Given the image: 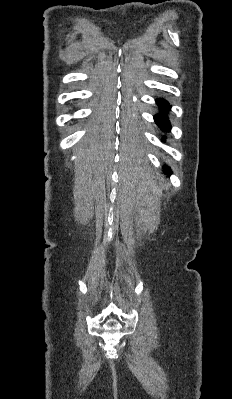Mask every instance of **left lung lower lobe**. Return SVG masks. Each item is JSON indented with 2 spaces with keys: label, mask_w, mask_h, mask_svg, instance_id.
Masks as SVG:
<instances>
[{
  "label": "left lung lower lobe",
  "mask_w": 232,
  "mask_h": 399,
  "mask_svg": "<svg viewBox=\"0 0 232 399\" xmlns=\"http://www.w3.org/2000/svg\"><path fill=\"white\" fill-rule=\"evenodd\" d=\"M156 102L161 109V113L154 116L155 122L158 125V127L161 128L163 131L169 132L171 129V125H170V121L167 116V111H169L170 105L164 99H157ZM164 171H165V173L168 174V176L171 173V170L169 167H164Z\"/></svg>",
  "instance_id": "left-lung-lower-lobe-1"
}]
</instances>
